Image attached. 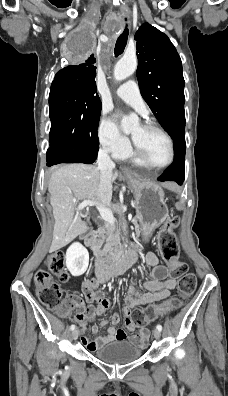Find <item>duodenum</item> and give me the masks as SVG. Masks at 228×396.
Wrapping results in <instances>:
<instances>
[{
    "label": "duodenum",
    "instance_id": "duodenum-1",
    "mask_svg": "<svg viewBox=\"0 0 228 396\" xmlns=\"http://www.w3.org/2000/svg\"><path fill=\"white\" fill-rule=\"evenodd\" d=\"M85 244L89 246L95 255L96 273L102 276L105 280H109L111 277L121 275L124 273L134 262L133 258L125 256L121 258L113 267L110 269L106 268V255L109 253L115 254L116 250H101L97 243L96 232L92 231L85 236ZM119 254L116 255L115 260Z\"/></svg>",
    "mask_w": 228,
    "mask_h": 396
}]
</instances>
